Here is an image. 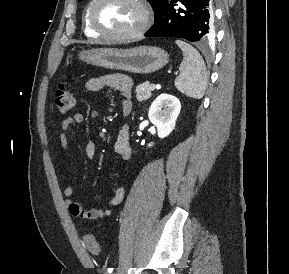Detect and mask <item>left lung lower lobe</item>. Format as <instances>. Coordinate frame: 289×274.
Returning <instances> with one entry per match:
<instances>
[{
    "mask_svg": "<svg viewBox=\"0 0 289 274\" xmlns=\"http://www.w3.org/2000/svg\"><path fill=\"white\" fill-rule=\"evenodd\" d=\"M181 7L175 9L174 6ZM146 37H177L206 43L214 36L210 0H168Z\"/></svg>",
    "mask_w": 289,
    "mask_h": 274,
    "instance_id": "1",
    "label": "left lung lower lobe"
}]
</instances>
